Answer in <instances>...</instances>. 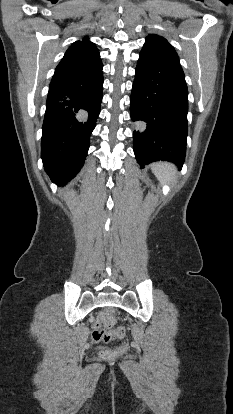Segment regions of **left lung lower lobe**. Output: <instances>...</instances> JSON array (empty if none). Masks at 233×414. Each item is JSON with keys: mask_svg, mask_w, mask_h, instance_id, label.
I'll list each match as a JSON object with an SVG mask.
<instances>
[{"mask_svg": "<svg viewBox=\"0 0 233 414\" xmlns=\"http://www.w3.org/2000/svg\"><path fill=\"white\" fill-rule=\"evenodd\" d=\"M130 97L135 157L142 167L167 160L181 167L188 134V90L180 64L140 53Z\"/></svg>", "mask_w": 233, "mask_h": 414, "instance_id": "left-lung-lower-lobe-1", "label": "left lung lower lobe"}]
</instances>
